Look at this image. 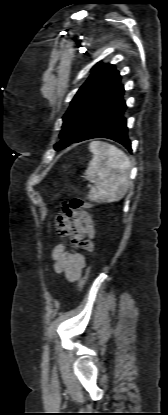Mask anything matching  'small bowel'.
<instances>
[{
	"label": "small bowel",
	"instance_id": "small-bowel-1",
	"mask_svg": "<svg viewBox=\"0 0 168 415\" xmlns=\"http://www.w3.org/2000/svg\"><path fill=\"white\" fill-rule=\"evenodd\" d=\"M57 232L72 237L74 245L86 252L94 250L93 220L88 212L73 207L70 201L65 202L64 210L58 212ZM51 258L55 271L64 274L69 281L78 280L86 266L85 255L80 251H68L64 242L54 246Z\"/></svg>",
	"mask_w": 168,
	"mask_h": 415
}]
</instances>
